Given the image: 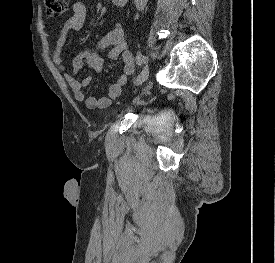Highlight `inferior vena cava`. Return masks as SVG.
<instances>
[{"label":"inferior vena cava","mask_w":275,"mask_h":263,"mask_svg":"<svg viewBox=\"0 0 275 263\" xmlns=\"http://www.w3.org/2000/svg\"><path fill=\"white\" fill-rule=\"evenodd\" d=\"M134 3L136 5V8L142 11L147 5V0H134Z\"/></svg>","instance_id":"1"}]
</instances>
